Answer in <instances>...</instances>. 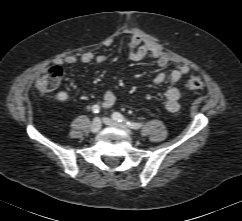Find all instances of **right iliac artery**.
<instances>
[{"label":"right iliac artery","mask_w":242,"mask_h":221,"mask_svg":"<svg viewBox=\"0 0 242 221\" xmlns=\"http://www.w3.org/2000/svg\"><path fill=\"white\" fill-rule=\"evenodd\" d=\"M92 111H93V113H99V111H100V107H99V105H94V106L92 107Z\"/></svg>","instance_id":"1"}]
</instances>
